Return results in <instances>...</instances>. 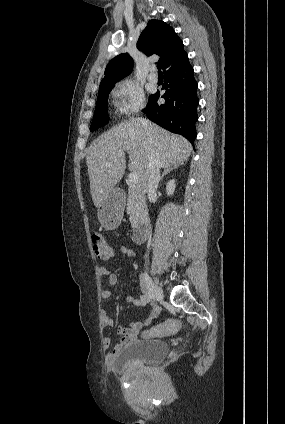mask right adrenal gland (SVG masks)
Returning a JSON list of instances; mask_svg holds the SVG:
<instances>
[{
	"label": "right adrenal gland",
	"mask_w": 285,
	"mask_h": 424,
	"mask_svg": "<svg viewBox=\"0 0 285 424\" xmlns=\"http://www.w3.org/2000/svg\"><path fill=\"white\" fill-rule=\"evenodd\" d=\"M178 167V165H172L169 167H166L161 175V180L164 178V176H166L168 173H170L171 171H173L174 169H176Z\"/></svg>",
	"instance_id": "right-adrenal-gland-1"
}]
</instances>
